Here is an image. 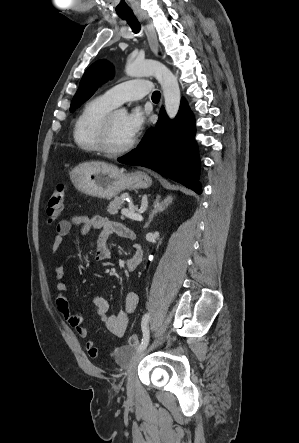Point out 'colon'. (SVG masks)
<instances>
[{"label": "colon", "instance_id": "obj_1", "mask_svg": "<svg viewBox=\"0 0 299 443\" xmlns=\"http://www.w3.org/2000/svg\"><path fill=\"white\" fill-rule=\"evenodd\" d=\"M65 197L64 184H58L51 192L46 206V214L50 223L56 221L62 212ZM129 347L123 348L118 355V360L124 362L128 357L130 350L140 345V338L136 334H132L128 339Z\"/></svg>", "mask_w": 299, "mask_h": 443}]
</instances>
